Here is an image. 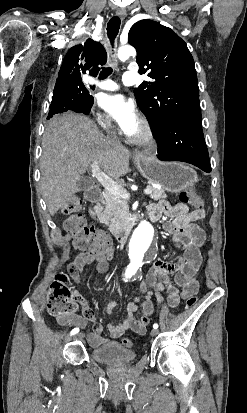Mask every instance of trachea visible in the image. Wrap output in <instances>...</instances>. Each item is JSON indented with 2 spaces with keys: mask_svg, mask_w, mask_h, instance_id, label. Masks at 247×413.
I'll use <instances>...</instances> for the list:
<instances>
[{
  "mask_svg": "<svg viewBox=\"0 0 247 413\" xmlns=\"http://www.w3.org/2000/svg\"><path fill=\"white\" fill-rule=\"evenodd\" d=\"M120 23H121L120 18H118V17H113L108 22L107 33H108V37L110 38L111 42L114 41V39L116 38V36L119 32ZM112 71L113 70H112L111 67L103 68L102 72L100 73L99 78L100 79L107 78L112 73Z\"/></svg>",
  "mask_w": 247,
  "mask_h": 413,
  "instance_id": "trachea-1",
  "label": "trachea"
}]
</instances>
